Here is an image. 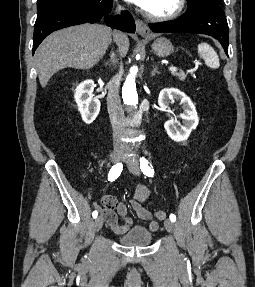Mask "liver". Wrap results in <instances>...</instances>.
Masks as SVG:
<instances>
[{
    "instance_id": "obj_1",
    "label": "liver",
    "mask_w": 255,
    "mask_h": 287,
    "mask_svg": "<svg viewBox=\"0 0 255 287\" xmlns=\"http://www.w3.org/2000/svg\"><path fill=\"white\" fill-rule=\"evenodd\" d=\"M121 58L129 50V40L125 34L114 38ZM111 42V30L100 24H82L54 32L48 36L35 58L42 88H46L53 74L63 68L88 70L103 58Z\"/></svg>"
}]
</instances>
